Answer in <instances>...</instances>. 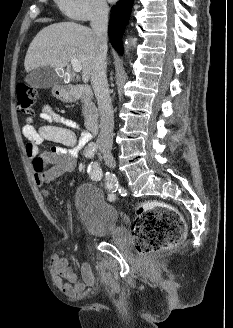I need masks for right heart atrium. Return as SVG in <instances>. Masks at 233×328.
<instances>
[{
	"mask_svg": "<svg viewBox=\"0 0 233 328\" xmlns=\"http://www.w3.org/2000/svg\"><path fill=\"white\" fill-rule=\"evenodd\" d=\"M61 11L71 19L87 21L103 17L108 11L106 0H56Z\"/></svg>",
	"mask_w": 233,
	"mask_h": 328,
	"instance_id": "d8ad5b80",
	"label": "right heart atrium"
}]
</instances>
